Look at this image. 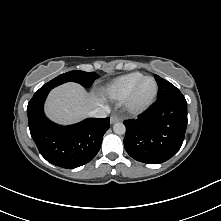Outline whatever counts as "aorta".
Instances as JSON below:
<instances>
[{
	"instance_id": "obj_1",
	"label": "aorta",
	"mask_w": 221,
	"mask_h": 221,
	"mask_svg": "<svg viewBox=\"0 0 221 221\" xmlns=\"http://www.w3.org/2000/svg\"><path fill=\"white\" fill-rule=\"evenodd\" d=\"M113 131L118 135H123L126 132L125 125L121 122H117L113 125Z\"/></svg>"
}]
</instances>
